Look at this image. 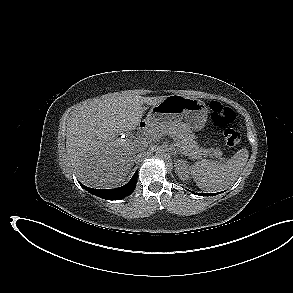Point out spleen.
<instances>
[{
  "label": "spleen",
  "instance_id": "3e777b00",
  "mask_svg": "<svg viewBox=\"0 0 293 293\" xmlns=\"http://www.w3.org/2000/svg\"><path fill=\"white\" fill-rule=\"evenodd\" d=\"M249 152L240 149L226 161L201 160L192 165L190 171L197 186L206 192H218L230 187L247 163Z\"/></svg>",
  "mask_w": 293,
  "mask_h": 293
}]
</instances>
